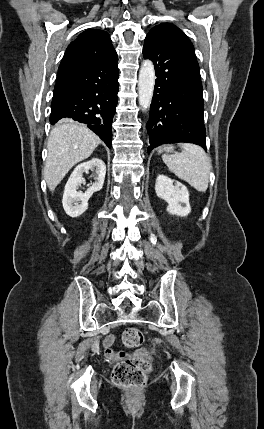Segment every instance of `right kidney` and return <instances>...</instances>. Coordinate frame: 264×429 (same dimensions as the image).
Wrapping results in <instances>:
<instances>
[{
  "label": "right kidney",
  "instance_id": "obj_1",
  "mask_svg": "<svg viewBox=\"0 0 264 429\" xmlns=\"http://www.w3.org/2000/svg\"><path fill=\"white\" fill-rule=\"evenodd\" d=\"M89 170H95L97 177L95 182L83 193L82 191H78V189L85 182L83 173H87ZM105 174V163L99 158H92L76 166L65 185L63 193L62 204L67 215L75 218L88 209V200L94 192L102 189Z\"/></svg>",
  "mask_w": 264,
  "mask_h": 429
}]
</instances>
